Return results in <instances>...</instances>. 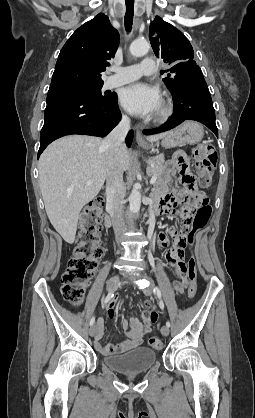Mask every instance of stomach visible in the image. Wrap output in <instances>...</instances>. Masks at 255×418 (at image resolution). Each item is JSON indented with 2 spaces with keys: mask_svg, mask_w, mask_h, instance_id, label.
Wrapping results in <instances>:
<instances>
[{
  "mask_svg": "<svg viewBox=\"0 0 255 418\" xmlns=\"http://www.w3.org/2000/svg\"><path fill=\"white\" fill-rule=\"evenodd\" d=\"M202 137L203 129L200 125L194 122H185L178 128L167 132L162 138L161 145L166 148L193 145L198 143ZM146 148L151 149L153 146H147Z\"/></svg>",
  "mask_w": 255,
  "mask_h": 418,
  "instance_id": "stomach-1",
  "label": "stomach"
}]
</instances>
